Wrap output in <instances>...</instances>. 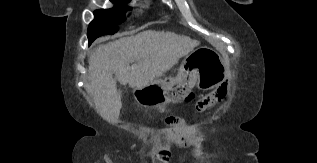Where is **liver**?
<instances>
[{
  "mask_svg": "<svg viewBox=\"0 0 317 163\" xmlns=\"http://www.w3.org/2000/svg\"><path fill=\"white\" fill-rule=\"evenodd\" d=\"M199 44L173 32L146 30L97 47L88 59V79L99 115L117 123L122 107L117 81L136 89L155 84Z\"/></svg>",
  "mask_w": 317,
  "mask_h": 163,
  "instance_id": "6515ba94",
  "label": "liver"
}]
</instances>
